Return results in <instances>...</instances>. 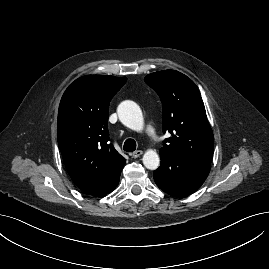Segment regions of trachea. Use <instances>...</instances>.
Returning <instances> with one entry per match:
<instances>
[{
    "label": "trachea",
    "mask_w": 269,
    "mask_h": 269,
    "mask_svg": "<svg viewBox=\"0 0 269 269\" xmlns=\"http://www.w3.org/2000/svg\"><path fill=\"white\" fill-rule=\"evenodd\" d=\"M123 149L126 152H133L136 150V142L134 139H127L123 145Z\"/></svg>",
    "instance_id": "trachea-1"
}]
</instances>
